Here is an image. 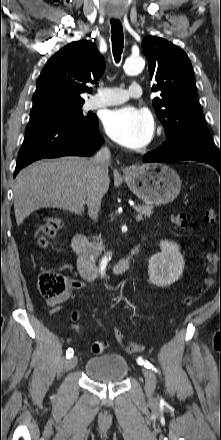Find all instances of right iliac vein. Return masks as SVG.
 <instances>
[{"mask_svg":"<svg viewBox=\"0 0 221 440\" xmlns=\"http://www.w3.org/2000/svg\"><path fill=\"white\" fill-rule=\"evenodd\" d=\"M77 357H72L71 359L67 360L65 363V370H70L74 368L77 364Z\"/></svg>","mask_w":221,"mask_h":440,"instance_id":"obj_1","label":"right iliac vein"}]
</instances>
